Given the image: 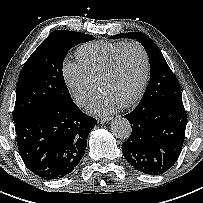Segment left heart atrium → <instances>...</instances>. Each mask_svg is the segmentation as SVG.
Wrapping results in <instances>:
<instances>
[{
    "instance_id": "obj_1",
    "label": "left heart atrium",
    "mask_w": 203,
    "mask_h": 203,
    "mask_svg": "<svg viewBox=\"0 0 203 203\" xmlns=\"http://www.w3.org/2000/svg\"><path fill=\"white\" fill-rule=\"evenodd\" d=\"M123 103L112 96L102 93L88 105L89 112L97 115H109L122 107Z\"/></svg>"
}]
</instances>
